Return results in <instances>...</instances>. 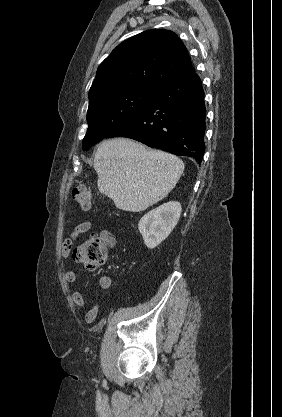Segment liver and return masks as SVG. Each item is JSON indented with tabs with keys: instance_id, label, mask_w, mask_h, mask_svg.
Masks as SVG:
<instances>
[{
	"instance_id": "obj_1",
	"label": "liver",
	"mask_w": 282,
	"mask_h": 417,
	"mask_svg": "<svg viewBox=\"0 0 282 417\" xmlns=\"http://www.w3.org/2000/svg\"><path fill=\"white\" fill-rule=\"evenodd\" d=\"M94 168L100 192L112 198L117 209L139 213L167 196L184 162L163 150H147L131 138H109L98 146Z\"/></svg>"
}]
</instances>
